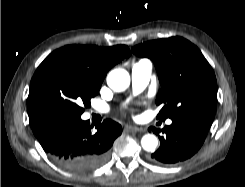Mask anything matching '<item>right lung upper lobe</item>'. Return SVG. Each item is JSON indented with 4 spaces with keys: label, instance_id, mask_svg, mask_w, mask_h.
Returning a JSON list of instances; mask_svg holds the SVG:
<instances>
[{
    "label": "right lung upper lobe",
    "instance_id": "right-lung-upper-lobe-1",
    "mask_svg": "<svg viewBox=\"0 0 245 187\" xmlns=\"http://www.w3.org/2000/svg\"><path fill=\"white\" fill-rule=\"evenodd\" d=\"M64 56L85 69L93 81L103 82L108 70L131 55L125 45L98 47L92 45H68L52 52Z\"/></svg>",
    "mask_w": 245,
    "mask_h": 187
}]
</instances>
